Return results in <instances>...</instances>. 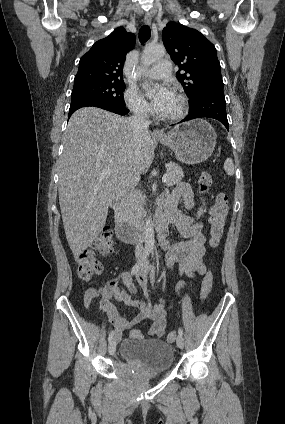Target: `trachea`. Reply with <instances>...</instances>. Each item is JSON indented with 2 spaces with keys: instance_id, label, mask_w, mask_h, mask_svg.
Masks as SVG:
<instances>
[{
  "instance_id": "3493384b",
  "label": "trachea",
  "mask_w": 285,
  "mask_h": 424,
  "mask_svg": "<svg viewBox=\"0 0 285 424\" xmlns=\"http://www.w3.org/2000/svg\"><path fill=\"white\" fill-rule=\"evenodd\" d=\"M151 36V30L148 25H144L139 30V41L144 44Z\"/></svg>"
}]
</instances>
